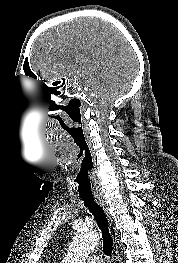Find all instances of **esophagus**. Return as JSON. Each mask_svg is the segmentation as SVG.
Returning a JSON list of instances; mask_svg holds the SVG:
<instances>
[{
  "mask_svg": "<svg viewBox=\"0 0 178 263\" xmlns=\"http://www.w3.org/2000/svg\"><path fill=\"white\" fill-rule=\"evenodd\" d=\"M96 201L97 203L102 207V209L104 210L107 218H108V222H109V226H110V232H111V235H112V238H113V241H114V245L117 247V230H116V227L114 225V221L112 219V216L109 212V208H108V205H107V202L106 200L104 199V197L102 196H96ZM112 259H113V263H116L117 261V251H114L113 252V256H112Z\"/></svg>",
  "mask_w": 178,
  "mask_h": 263,
  "instance_id": "obj_1",
  "label": "esophagus"
}]
</instances>
